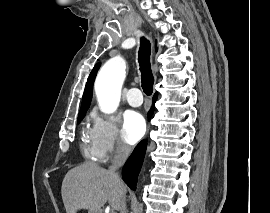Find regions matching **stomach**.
<instances>
[{
    "mask_svg": "<svg viewBox=\"0 0 270 213\" xmlns=\"http://www.w3.org/2000/svg\"><path fill=\"white\" fill-rule=\"evenodd\" d=\"M88 213H101L99 211H89Z\"/></svg>",
    "mask_w": 270,
    "mask_h": 213,
    "instance_id": "1",
    "label": "stomach"
}]
</instances>
